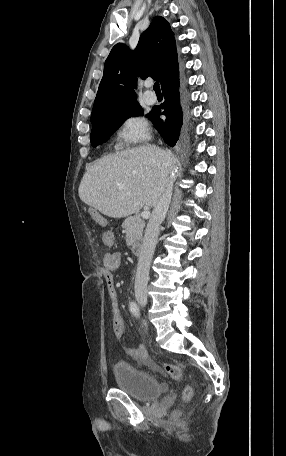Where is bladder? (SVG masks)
Wrapping results in <instances>:
<instances>
[{"label":"bladder","instance_id":"bladder-1","mask_svg":"<svg viewBox=\"0 0 286 456\" xmlns=\"http://www.w3.org/2000/svg\"><path fill=\"white\" fill-rule=\"evenodd\" d=\"M116 386L137 400L147 401L162 395L164 388L157 378L126 362L114 367Z\"/></svg>","mask_w":286,"mask_h":456}]
</instances>
